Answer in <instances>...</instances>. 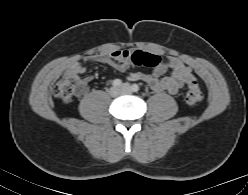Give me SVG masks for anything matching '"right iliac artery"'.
<instances>
[{"label": "right iliac artery", "instance_id": "1", "mask_svg": "<svg viewBox=\"0 0 248 195\" xmlns=\"http://www.w3.org/2000/svg\"><path fill=\"white\" fill-rule=\"evenodd\" d=\"M112 85L115 87H119L122 85V81L120 79H115L113 80Z\"/></svg>", "mask_w": 248, "mask_h": 195}]
</instances>
